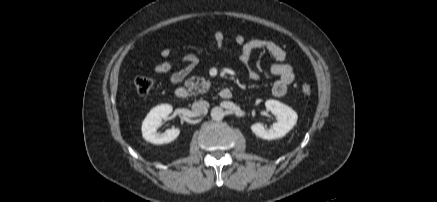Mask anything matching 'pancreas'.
<instances>
[{"label":"pancreas","instance_id":"cf45deb5","mask_svg":"<svg viewBox=\"0 0 437 202\" xmlns=\"http://www.w3.org/2000/svg\"><path fill=\"white\" fill-rule=\"evenodd\" d=\"M210 82L206 81L203 77L199 76H193L189 78V80L186 82V86L190 90H197V93H203L206 92L210 87ZM194 92V94H197Z\"/></svg>","mask_w":437,"mask_h":202}]
</instances>
